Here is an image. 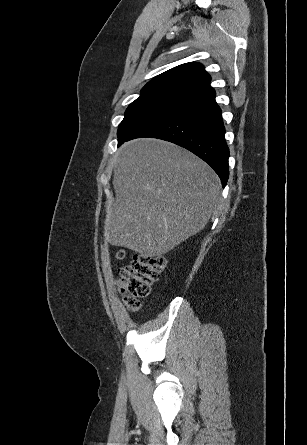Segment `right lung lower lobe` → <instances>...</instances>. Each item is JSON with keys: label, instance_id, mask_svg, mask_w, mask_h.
I'll return each instance as SVG.
<instances>
[{"label": "right lung lower lobe", "instance_id": "right-lung-lower-lobe-1", "mask_svg": "<svg viewBox=\"0 0 307 445\" xmlns=\"http://www.w3.org/2000/svg\"><path fill=\"white\" fill-rule=\"evenodd\" d=\"M224 135L221 110L215 102V91L210 89L138 128L118 141V147L139 137L170 141L207 162L225 187L229 176V149Z\"/></svg>", "mask_w": 307, "mask_h": 445}]
</instances>
